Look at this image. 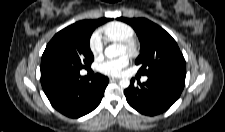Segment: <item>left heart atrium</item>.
I'll list each match as a JSON object with an SVG mask.
<instances>
[{
  "label": "left heart atrium",
  "mask_w": 225,
  "mask_h": 132,
  "mask_svg": "<svg viewBox=\"0 0 225 132\" xmlns=\"http://www.w3.org/2000/svg\"><path fill=\"white\" fill-rule=\"evenodd\" d=\"M129 57L126 54L115 59H108L99 64V71L105 75L118 76L129 64Z\"/></svg>",
  "instance_id": "left-heart-atrium-1"
}]
</instances>
